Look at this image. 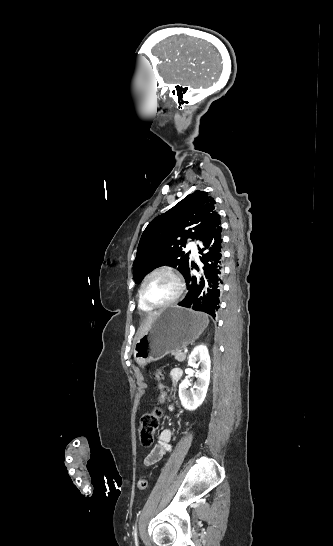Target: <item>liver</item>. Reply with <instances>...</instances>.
I'll use <instances>...</instances> for the list:
<instances>
[{
  "mask_svg": "<svg viewBox=\"0 0 333 546\" xmlns=\"http://www.w3.org/2000/svg\"><path fill=\"white\" fill-rule=\"evenodd\" d=\"M161 313L160 312H153L148 315V317L145 319L144 324L140 327L139 331V337L143 336L150 328L152 322L154 319Z\"/></svg>",
  "mask_w": 333,
  "mask_h": 546,
  "instance_id": "liver-1",
  "label": "liver"
}]
</instances>
